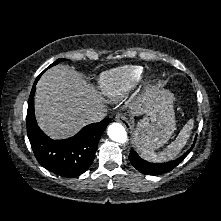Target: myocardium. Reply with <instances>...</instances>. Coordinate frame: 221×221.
I'll return each instance as SVG.
<instances>
[{
  "label": "myocardium",
  "mask_w": 221,
  "mask_h": 221,
  "mask_svg": "<svg viewBox=\"0 0 221 221\" xmlns=\"http://www.w3.org/2000/svg\"><path fill=\"white\" fill-rule=\"evenodd\" d=\"M145 84H146L147 86H151V85L153 84L152 79H151V78H148V79L145 81Z\"/></svg>",
  "instance_id": "obj_1"
}]
</instances>
